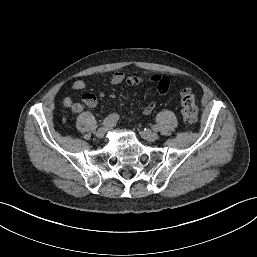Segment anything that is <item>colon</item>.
Listing matches in <instances>:
<instances>
[{
    "instance_id": "obj_1",
    "label": "colon",
    "mask_w": 257,
    "mask_h": 257,
    "mask_svg": "<svg viewBox=\"0 0 257 257\" xmlns=\"http://www.w3.org/2000/svg\"><path fill=\"white\" fill-rule=\"evenodd\" d=\"M183 121L186 127H192L197 120L198 107L195 96L188 88L180 91Z\"/></svg>"
}]
</instances>
